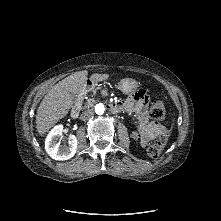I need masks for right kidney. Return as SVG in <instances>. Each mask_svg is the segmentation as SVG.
<instances>
[{"label": "right kidney", "instance_id": "ca27d5eb", "mask_svg": "<svg viewBox=\"0 0 221 221\" xmlns=\"http://www.w3.org/2000/svg\"><path fill=\"white\" fill-rule=\"evenodd\" d=\"M62 131V125L55 126L45 140L46 152L55 160H68L75 155L77 150V138L75 135H70L68 146L60 145L58 139L62 136Z\"/></svg>", "mask_w": 221, "mask_h": 221}]
</instances>
